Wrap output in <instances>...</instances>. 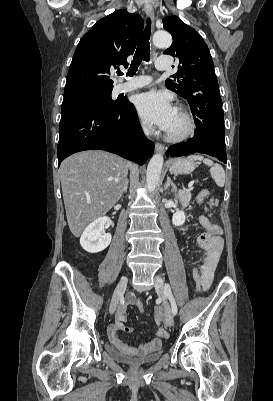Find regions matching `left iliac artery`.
<instances>
[{"instance_id":"1","label":"left iliac artery","mask_w":273,"mask_h":401,"mask_svg":"<svg viewBox=\"0 0 273 401\" xmlns=\"http://www.w3.org/2000/svg\"><path fill=\"white\" fill-rule=\"evenodd\" d=\"M165 294H166V296L168 297V299L170 300L171 308H172V313H173L174 315H176L178 309H177V305H176L175 299H174V297H173V295H172V292H171V289H170L169 284H165Z\"/></svg>"}]
</instances>
